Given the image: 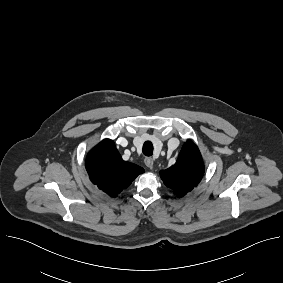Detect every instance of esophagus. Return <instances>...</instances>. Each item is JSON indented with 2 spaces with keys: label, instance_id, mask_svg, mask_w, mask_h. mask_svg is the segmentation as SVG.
<instances>
[{
  "label": "esophagus",
  "instance_id": "esophagus-1",
  "mask_svg": "<svg viewBox=\"0 0 283 283\" xmlns=\"http://www.w3.org/2000/svg\"><path fill=\"white\" fill-rule=\"evenodd\" d=\"M144 163L148 168L152 169L154 165V160L151 157H146L144 159Z\"/></svg>",
  "mask_w": 283,
  "mask_h": 283
}]
</instances>
